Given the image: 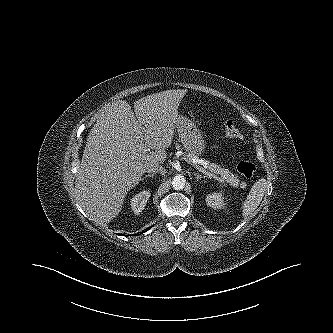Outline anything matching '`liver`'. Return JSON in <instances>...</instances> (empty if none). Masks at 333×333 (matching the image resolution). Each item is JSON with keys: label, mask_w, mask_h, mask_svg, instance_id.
Instances as JSON below:
<instances>
[{"label": "liver", "mask_w": 333, "mask_h": 333, "mask_svg": "<svg viewBox=\"0 0 333 333\" xmlns=\"http://www.w3.org/2000/svg\"><path fill=\"white\" fill-rule=\"evenodd\" d=\"M186 93L167 90L148 95L134 103V111L119 101L96 122L87 137L74 191L89 220L97 225L111 222L147 168L164 163Z\"/></svg>", "instance_id": "6515ba94"}]
</instances>
